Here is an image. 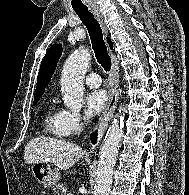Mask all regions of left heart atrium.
<instances>
[{"label":"left heart atrium","mask_w":189,"mask_h":195,"mask_svg":"<svg viewBox=\"0 0 189 195\" xmlns=\"http://www.w3.org/2000/svg\"><path fill=\"white\" fill-rule=\"evenodd\" d=\"M108 100V94L104 89H93L89 91L85 98V112L92 117L100 113Z\"/></svg>","instance_id":"1"}]
</instances>
